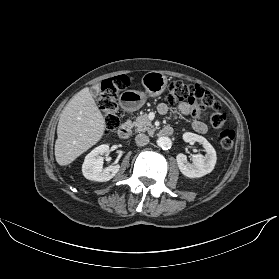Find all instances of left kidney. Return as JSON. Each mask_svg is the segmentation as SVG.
<instances>
[{
	"label": "left kidney",
	"mask_w": 279,
	"mask_h": 279,
	"mask_svg": "<svg viewBox=\"0 0 279 279\" xmlns=\"http://www.w3.org/2000/svg\"><path fill=\"white\" fill-rule=\"evenodd\" d=\"M183 140L189 143L198 142L202 144L206 154L193 155L192 163L187 161L186 155L178 154L176 160L181 173L189 178H200L210 173L214 169L217 160L216 151L213 146L203 136L191 132L184 133Z\"/></svg>",
	"instance_id": "1"
}]
</instances>
